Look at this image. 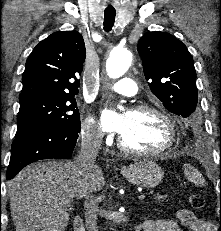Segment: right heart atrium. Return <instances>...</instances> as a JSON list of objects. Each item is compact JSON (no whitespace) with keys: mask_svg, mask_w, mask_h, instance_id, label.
Instances as JSON below:
<instances>
[{"mask_svg":"<svg viewBox=\"0 0 221 231\" xmlns=\"http://www.w3.org/2000/svg\"><path fill=\"white\" fill-rule=\"evenodd\" d=\"M82 139L90 144L98 145L102 140V135L99 132L95 121L92 118H87L81 126Z\"/></svg>","mask_w":221,"mask_h":231,"instance_id":"obj_1","label":"right heart atrium"}]
</instances>
